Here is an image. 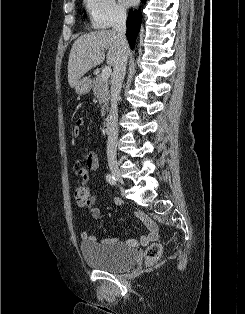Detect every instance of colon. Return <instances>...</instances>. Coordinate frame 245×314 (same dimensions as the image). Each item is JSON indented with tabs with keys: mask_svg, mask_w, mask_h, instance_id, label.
<instances>
[{
	"mask_svg": "<svg viewBox=\"0 0 245 314\" xmlns=\"http://www.w3.org/2000/svg\"><path fill=\"white\" fill-rule=\"evenodd\" d=\"M74 198L78 205L86 206L90 203L92 194L89 187L78 185L73 191ZM163 247L160 243H154L148 247L145 253V258L148 263L157 261L162 254Z\"/></svg>",
	"mask_w": 245,
	"mask_h": 314,
	"instance_id": "colon-1",
	"label": "colon"
}]
</instances>
